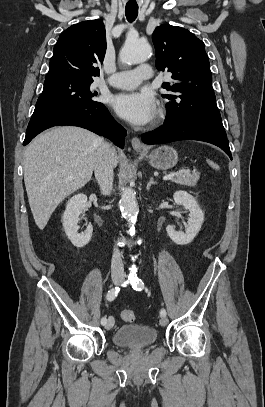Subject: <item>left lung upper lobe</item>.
Listing matches in <instances>:
<instances>
[{"label":"left lung upper lobe","instance_id":"left-lung-upper-lobe-1","mask_svg":"<svg viewBox=\"0 0 265 407\" xmlns=\"http://www.w3.org/2000/svg\"><path fill=\"white\" fill-rule=\"evenodd\" d=\"M156 67L172 73L163 88L166 100L164 124L194 123L225 134L212 87L209 59L203 41L187 29L161 25L152 35Z\"/></svg>","mask_w":265,"mask_h":407}]
</instances>
